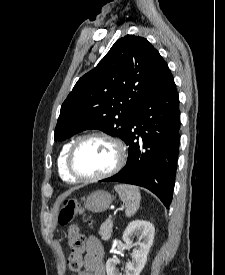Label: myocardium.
Returning a JSON list of instances; mask_svg holds the SVG:
<instances>
[{"instance_id": "1", "label": "myocardium", "mask_w": 225, "mask_h": 275, "mask_svg": "<svg viewBox=\"0 0 225 275\" xmlns=\"http://www.w3.org/2000/svg\"><path fill=\"white\" fill-rule=\"evenodd\" d=\"M103 139L106 140L108 142H110L115 150H116V161L114 166L108 170L107 172H104L102 174H98V175H91V176H84L81 175L79 173L76 172L75 168H74V156L75 153L77 151V149L79 148V146L90 139ZM126 149L125 146L123 144V142L118 139L115 136H112L110 134L107 133H102V132H93V133H88L85 135L80 136L79 138H77L71 145V147L69 148V151L67 153V158H66V167H67V171L69 172V174L75 179V180H80V181H99L102 179H106L109 178L113 175H115L116 173H118L122 167L125 164L126 161Z\"/></svg>"}]
</instances>
